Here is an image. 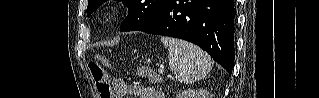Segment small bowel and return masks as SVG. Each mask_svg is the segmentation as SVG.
I'll list each match as a JSON object with an SVG mask.
<instances>
[{
    "label": "small bowel",
    "mask_w": 319,
    "mask_h": 98,
    "mask_svg": "<svg viewBox=\"0 0 319 98\" xmlns=\"http://www.w3.org/2000/svg\"><path fill=\"white\" fill-rule=\"evenodd\" d=\"M110 81L115 92L114 98H124L127 95L137 98H163L160 92L151 87L128 84L122 79L112 78Z\"/></svg>",
    "instance_id": "1"
}]
</instances>
